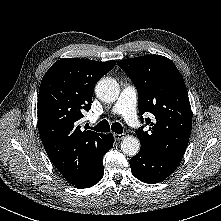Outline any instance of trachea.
I'll return each mask as SVG.
<instances>
[{
    "mask_svg": "<svg viewBox=\"0 0 221 221\" xmlns=\"http://www.w3.org/2000/svg\"><path fill=\"white\" fill-rule=\"evenodd\" d=\"M92 129L97 132H109L111 129L113 132L117 134L123 133V127L121 126L120 123L115 122L110 126L107 120L100 121L95 127H92Z\"/></svg>",
    "mask_w": 221,
    "mask_h": 221,
    "instance_id": "trachea-1",
    "label": "trachea"
}]
</instances>
